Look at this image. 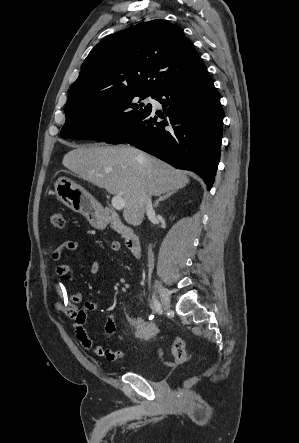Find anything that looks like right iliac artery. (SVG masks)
<instances>
[{"label": "right iliac artery", "mask_w": 299, "mask_h": 443, "mask_svg": "<svg viewBox=\"0 0 299 443\" xmlns=\"http://www.w3.org/2000/svg\"><path fill=\"white\" fill-rule=\"evenodd\" d=\"M153 303H154V308H155V310H156L159 314H161V313H162V306H161V304L159 303V301H158L155 297H153Z\"/></svg>", "instance_id": "1"}]
</instances>
